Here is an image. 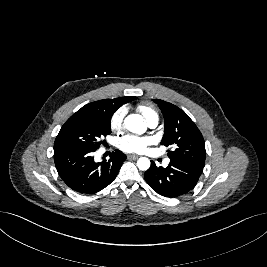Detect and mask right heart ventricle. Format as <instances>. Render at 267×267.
I'll return each instance as SVG.
<instances>
[{
  "label": "right heart ventricle",
  "instance_id": "1",
  "mask_svg": "<svg viewBox=\"0 0 267 267\" xmlns=\"http://www.w3.org/2000/svg\"><path fill=\"white\" fill-rule=\"evenodd\" d=\"M137 109L147 122L155 118L158 119L156 110L149 104H141Z\"/></svg>",
  "mask_w": 267,
  "mask_h": 267
}]
</instances>
